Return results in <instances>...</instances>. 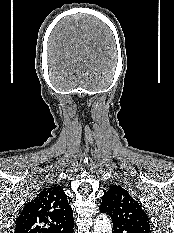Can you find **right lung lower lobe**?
Returning a JSON list of instances; mask_svg holds the SVG:
<instances>
[{
    "label": "right lung lower lobe",
    "instance_id": "1",
    "mask_svg": "<svg viewBox=\"0 0 174 233\" xmlns=\"http://www.w3.org/2000/svg\"><path fill=\"white\" fill-rule=\"evenodd\" d=\"M73 227L74 225L72 226V228H70L68 231H65L64 233H73Z\"/></svg>",
    "mask_w": 174,
    "mask_h": 233
}]
</instances>
